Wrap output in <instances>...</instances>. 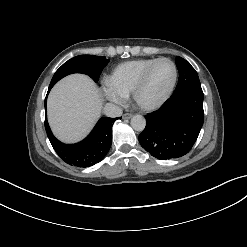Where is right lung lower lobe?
Returning <instances> with one entry per match:
<instances>
[{"instance_id":"98d812e1","label":"right lung lower lobe","mask_w":247,"mask_h":247,"mask_svg":"<svg viewBox=\"0 0 247 247\" xmlns=\"http://www.w3.org/2000/svg\"><path fill=\"white\" fill-rule=\"evenodd\" d=\"M52 87L49 86L48 93ZM117 119L119 118H101L92 132L83 141L76 144H64L57 140L53 136L46 118L45 129L52 147L63 161L85 168L100 162L106 156L112 143V125Z\"/></svg>"}]
</instances>
